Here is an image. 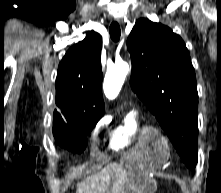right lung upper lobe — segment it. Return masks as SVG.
<instances>
[{
  "label": "right lung upper lobe",
  "instance_id": "1",
  "mask_svg": "<svg viewBox=\"0 0 221 193\" xmlns=\"http://www.w3.org/2000/svg\"><path fill=\"white\" fill-rule=\"evenodd\" d=\"M101 49L102 37L91 31L66 52L56 78V104L61 111L54 112L55 119L103 116Z\"/></svg>",
  "mask_w": 221,
  "mask_h": 193
}]
</instances>
